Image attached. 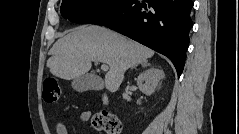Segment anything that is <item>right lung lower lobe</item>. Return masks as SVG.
Instances as JSON below:
<instances>
[{
	"mask_svg": "<svg viewBox=\"0 0 239 134\" xmlns=\"http://www.w3.org/2000/svg\"><path fill=\"white\" fill-rule=\"evenodd\" d=\"M192 7V0H120L87 23L109 27L167 56L180 77L189 45Z\"/></svg>",
	"mask_w": 239,
	"mask_h": 134,
	"instance_id": "1",
	"label": "right lung lower lobe"
}]
</instances>
